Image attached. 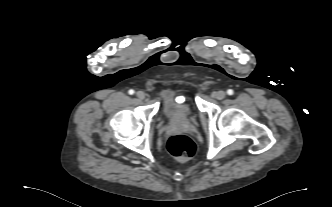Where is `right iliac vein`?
I'll return each mask as SVG.
<instances>
[{
  "mask_svg": "<svg viewBox=\"0 0 332 207\" xmlns=\"http://www.w3.org/2000/svg\"><path fill=\"white\" fill-rule=\"evenodd\" d=\"M136 96L138 99L143 100L145 98V93L143 91H138Z\"/></svg>",
  "mask_w": 332,
  "mask_h": 207,
  "instance_id": "63e3f726",
  "label": "right iliac vein"
}]
</instances>
